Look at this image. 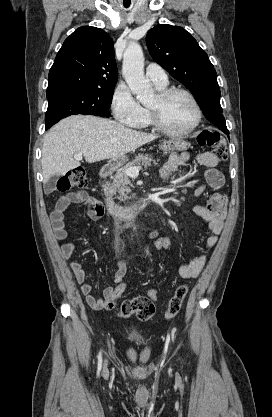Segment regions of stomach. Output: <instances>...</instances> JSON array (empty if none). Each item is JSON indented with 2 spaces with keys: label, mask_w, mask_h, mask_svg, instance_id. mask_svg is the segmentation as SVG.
<instances>
[{
  "label": "stomach",
  "mask_w": 272,
  "mask_h": 417,
  "mask_svg": "<svg viewBox=\"0 0 272 417\" xmlns=\"http://www.w3.org/2000/svg\"><path fill=\"white\" fill-rule=\"evenodd\" d=\"M187 147H188V143L180 139H171L168 141H164L160 145V149L164 153H169L170 151H173V150H185ZM126 160H127V157L123 155L115 159H112L110 161V164L118 168L122 166Z\"/></svg>",
  "instance_id": "0dacf381"
}]
</instances>
